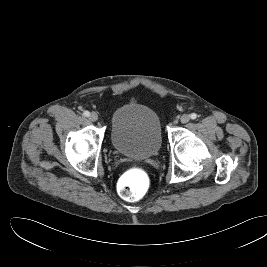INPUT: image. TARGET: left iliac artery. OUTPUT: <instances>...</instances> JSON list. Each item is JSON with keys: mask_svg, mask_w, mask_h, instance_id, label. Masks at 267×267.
I'll list each match as a JSON object with an SVG mask.
<instances>
[{"mask_svg": "<svg viewBox=\"0 0 267 267\" xmlns=\"http://www.w3.org/2000/svg\"><path fill=\"white\" fill-rule=\"evenodd\" d=\"M190 117H191V119H196L197 118V114L196 113H192L191 115H190Z\"/></svg>", "mask_w": 267, "mask_h": 267, "instance_id": "44dca946", "label": "left iliac artery"}]
</instances>
